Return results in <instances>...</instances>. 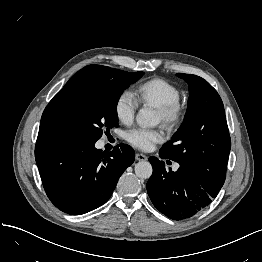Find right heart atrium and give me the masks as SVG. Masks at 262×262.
<instances>
[{
	"mask_svg": "<svg viewBox=\"0 0 262 262\" xmlns=\"http://www.w3.org/2000/svg\"><path fill=\"white\" fill-rule=\"evenodd\" d=\"M138 103L134 96L125 91L119 95L115 102V115L123 124H129L134 119Z\"/></svg>",
	"mask_w": 262,
	"mask_h": 262,
	"instance_id": "1",
	"label": "right heart atrium"
}]
</instances>
